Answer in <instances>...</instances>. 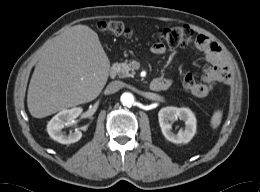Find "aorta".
Returning a JSON list of instances; mask_svg holds the SVG:
<instances>
[{"mask_svg":"<svg viewBox=\"0 0 260 192\" xmlns=\"http://www.w3.org/2000/svg\"><path fill=\"white\" fill-rule=\"evenodd\" d=\"M121 103L124 105V106H132L133 103H134V96L129 93V92H124L122 95H121Z\"/></svg>","mask_w":260,"mask_h":192,"instance_id":"1","label":"aorta"}]
</instances>
